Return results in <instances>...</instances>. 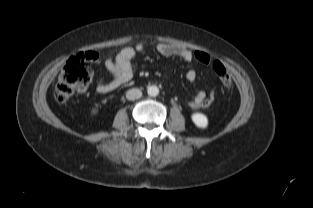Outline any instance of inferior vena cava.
<instances>
[{"label":"inferior vena cava","mask_w":313,"mask_h":208,"mask_svg":"<svg viewBox=\"0 0 313 208\" xmlns=\"http://www.w3.org/2000/svg\"><path fill=\"white\" fill-rule=\"evenodd\" d=\"M141 96H142V92L141 90L137 88L130 89L126 93V98L128 100H136V99L141 98Z\"/></svg>","instance_id":"inferior-vena-cava-1"}]
</instances>
